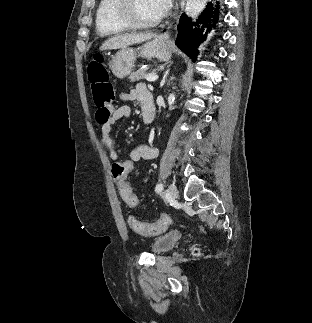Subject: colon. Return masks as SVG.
Segmentation results:
<instances>
[{"instance_id": "colon-1", "label": "colon", "mask_w": 312, "mask_h": 323, "mask_svg": "<svg viewBox=\"0 0 312 323\" xmlns=\"http://www.w3.org/2000/svg\"><path fill=\"white\" fill-rule=\"evenodd\" d=\"M88 78L91 82L93 92V103L97 107L95 121L106 123L114 111V87L109 81V73L104 62L97 60L91 63L88 68ZM111 166L112 175L115 182H118L120 193L123 197L124 204H128L129 209L134 213L139 211V204L136 197H133V190L130 188L125 177L127 172L134 170L133 160H117ZM133 165V166H132ZM171 224L170 217L162 215L155 223L141 222L131 219L129 223L130 231L141 235H157L166 232Z\"/></svg>"}]
</instances>
